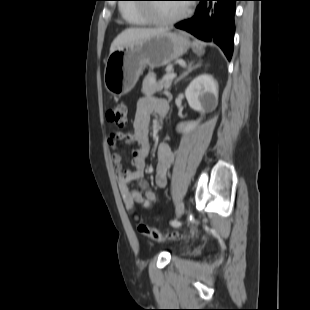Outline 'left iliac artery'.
I'll list each match as a JSON object with an SVG mask.
<instances>
[{
    "label": "left iliac artery",
    "instance_id": "obj_1",
    "mask_svg": "<svg viewBox=\"0 0 310 310\" xmlns=\"http://www.w3.org/2000/svg\"><path fill=\"white\" fill-rule=\"evenodd\" d=\"M170 223H171V225H173V226H181V225H182V223L179 222V221H177V220H172Z\"/></svg>",
    "mask_w": 310,
    "mask_h": 310
}]
</instances>
